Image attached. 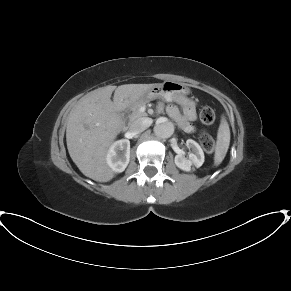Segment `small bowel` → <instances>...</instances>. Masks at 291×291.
I'll list each match as a JSON object with an SVG mask.
<instances>
[{"label":"small bowel","instance_id":"1","mask_svg":"<svg viewBox=\"0 0 291 291\" xmlns=\"http://www.w3.org/2000/svg\"><path fill=\"white\" fill-rule=\"evenodd\" d=\"M178 106L182 107V111ZM168 116L185 132L193 133L195 127L191 121L196 115V103L184 96H178L166 108Z\"/></svg>","mask_w":291,"mask_h":291}]
</instances>
